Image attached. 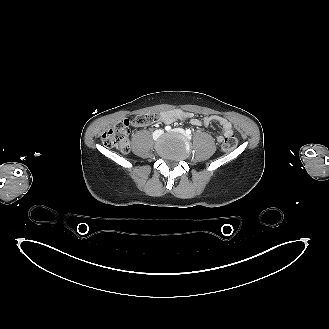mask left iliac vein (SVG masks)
Segmentation results:
<instances>
[{"instance_id":"left-iliac-vein-1","label":"left iliac vein","mask_w":329,"mask_h":329,"mask_svg":"<svg viewBox=\"0 0 329 329\" xmlns=\"http://www.w3.org/2000/svg\"><path fill=\"white\" fill-rule=\"evenodd\" d=\"M175 131L178 132V133H180V134H184L185 135V131L182 128H177V129H175Z\"/></svg>"}]
</instances>
